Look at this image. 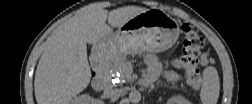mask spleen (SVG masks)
Returning <instances> with one entry per match:
<instances>
[{
    "label": "spleen",
    "instance_id": "1",
    "mask_svg": "<svg viewBox=\"0 0 252 104\" xmlns=\"http://www.w3.org/2000/svg\"><path fill=\"white\" fill-rule=\"evenodd\" d=\"M220 92V82L217 69L209 66L203 71V82L200 98L203 104H216Z\"/></svg>",
    "mask_w": 252,
    "mask_h": 104
}]
</instances>
